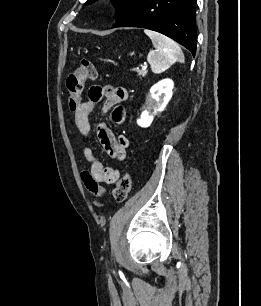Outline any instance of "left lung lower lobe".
Masks as SVG:
<instances>
[{
    "instance_id": "obj_1",
    "label": "left lung lower lobe",
    "mask_w": 261,
    "mask_h": 306,
    "mask_svg": "<svg viewBox=\"0 0 261 306\" xmlns=\"http://www.w3.org/2000/svg\"><path fill=\"white\" fill-rule=\"evenodd\" d=\"M196 0H135L112 26L143 27L160 32L196 53Z\"/></svg>"
}]
</instances>
